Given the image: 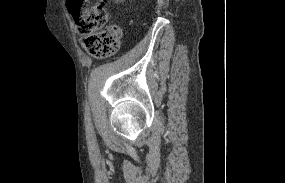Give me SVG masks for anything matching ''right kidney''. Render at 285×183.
Segmentation results:
<instances>
[{"mask_svg":"<svg viewBox=\"0 0 285 183\" xmlns=\"http://www.w3.org/2000/svg\"><path fill=\"white\" fill-rule=\"evenodd\" d=\"M116 3H118V2H122V1H124V0H114Z\"/></svg>","mask_w":285,"mask_h":183,"instance_id":"obj_1","label":"right kidney"}]
</instances>
